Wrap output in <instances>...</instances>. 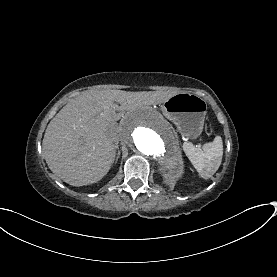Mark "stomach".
Listing matches in <instances>:
<instances>
[{
  "label": "stomach",
  "mask_w": 277,
  "mask_h": 277,
  "mask_svg": "<svg viewBox=\"0 0 277 277\" xmlns=\"http://www.w3.org/2000/svg\"><path fill=\"white\" fill-rule=\"evenodd\" d=\"M162 111L182 135L196 138L201 134L207 113L201 97L187 92L175 94L163 102Z\"/></svg>",
  "instance_id": "obj_1"
}]
</instances>
